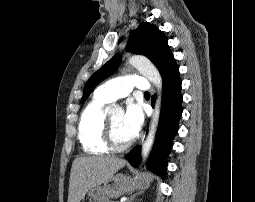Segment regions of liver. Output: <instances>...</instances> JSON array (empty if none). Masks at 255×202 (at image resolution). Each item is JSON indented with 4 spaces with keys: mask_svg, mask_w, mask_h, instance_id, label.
Segmentation results:
<instances>
[{
    "mask_svg": "<svg viewBox=\"0 0 255 202\" xmlns=\"http://www.w3.org/2000/svg\"><path fill=\"white\" fill-rule=\"evenodd\" d=\"M126 163L113 156L76 158L70 173L68 202H80L91 188L104 183Z\"/></svg>",
    "mask_w": 255,
    "mask_h": 202,
    "instance_id": "obj_1",
    "label": "liver"
}]
</instances>
